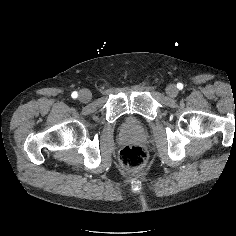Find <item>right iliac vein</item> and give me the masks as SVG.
<instances>
[{
  "label": "right iliac vein",
  "instance_id": "obj_1",
  "mask_svg": "<svg viewBox=\"0 0 236 236\" xmlns=\"http://www.w3.org/2000/svg\"><path fill=\"white\" fill-rule=\"evenodd\" d=\"M78 99L82 103H87L91 100V93L87 89H83L79 92Z\"/></svg>",
  "mask_w": 236,
  "mask_h": 236
}]
</instances>
